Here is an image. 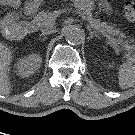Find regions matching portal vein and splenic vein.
<instances>
[{
  "label": "portal vein and splenic vein",
  "instance_id": "18ae733b",
  "mask_svg": "<svg viewBox=\"0 0 135 135\" xmlns=\"http://www.w3.org/2000/svg\"><path fill=\"white\" fill-rule=\"evenodd\" d=\"M71 12L76 13V14H79L83 19H85V17L80 12H78L76 10H71ZM60 13H62V12L59 11L58 12V15H60ZM55 18L56 17H51L49 19V23L54 24L55 23ZM103 35L106 36L108 39H111L112 40V37H110L109 35H107L105 32H103ZM115 44L118 46V43L117 42H115Z\"/></svg>",
  "mask_w": 135,
  "mask_h": 135
}]
</instances>
